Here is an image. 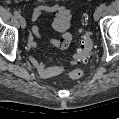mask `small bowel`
Returning a JSON list of instances; mask_svg holds the SVG:
<instances>
[{"label": "small bowel", "mask_w": 119, "mask_h": 119, "mask_svg": "<svg viewBox=\"0 0 119 119\" xmlns=\"http://www.w3.org/2000/svg\"><path fill=\"white\" fill-rule=\"evenodd\" d=\"M44 15H53L52 27L56 32L61 34L58 37L51 38L50 43L56 48L63 50L67 49L72 39L71 34L68 33V29L70 28L71 11L67 7L60 4H41L32 9L31 19L34 24L28 38V47L30 49L37 48L38 43L35 38L42 37L38 21ZM30 61L42 78H53L60 75L64 71L63 66L43 63L34 56H30Z\"/></svg>", "instance_id": "1"}]
</instances>
